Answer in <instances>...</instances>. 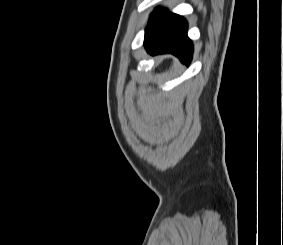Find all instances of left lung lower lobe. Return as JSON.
<instances>
[{
    "instance_id": "0a47b994",
    "label": "left lung lower lobe",
    "mask_w": 283,
    "mask_h": 245,
    "mask_svg": "<svg viewBox=\"0 0 283 245\" xmlns=\"http://www.w3.org/2000/svg\"><path fill=\"white\" fill-rule=\"evenodd\" d=\"M144 46L153 55L172 53L187 65L192 58L193 46L187 36V22L171 12H166L155 26L145 33Z\"/></svg>"
}]
</instances>
